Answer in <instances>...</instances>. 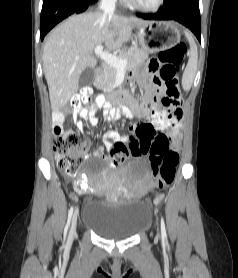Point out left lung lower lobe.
I'll return each mask as SVG.
<instances>
[{
	"instance_id": "left-lung-lower-lobe-1",
	"label": "left lung lower lobe",
	"mask_w": 238,
	"mask_h": 278,
	"mask_svg": "<svg viewBox=\"0 0 238 278\" xmlns=\"http://www.w3.org/2000/svg\"><path fill=\"white\" fill-rule=\"evenodd\" d=\"M148 20H175L188 27L201 42L199 0H165L161 11L139 15Z\"/></svg>"
}]
</instances>
